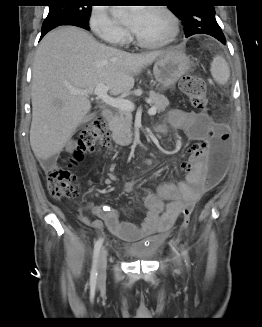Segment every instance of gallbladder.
Returning a JSON list of instances; mask_svg holds the SVG:
<instances>
[{"mask_svg":"<svg viewBox=\"0 0 262 327\" xmlns=\"http://www.w3.org/2000/svg\"><path fill=\"white\" fill-rule=\"evenodd\" d=\"M91 118H92V115H86V116L83 118L82 122H83V123L88 122Z\"/></svg>","mask_w":262,"mask_h":327,"instance_id":"gallbladder-1","label":"gallbladder"}]
</instances>
